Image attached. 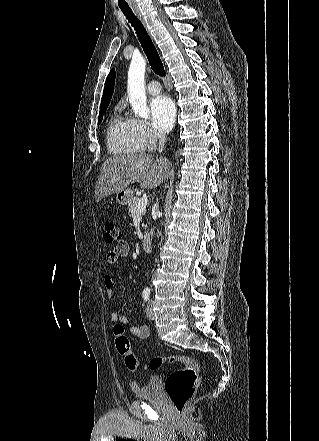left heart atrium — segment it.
Segmentation results:
<instances>
[{
  "label": "left heart atrium",
  "instance_id": "obj_1",
  "mask_svg": "<svg viewBox=\"0 0 319 441\" xmlns=\"http://www.w3.org/2000/svg\"><path fill=\"white\" fill-rule=\"evenodd\" d=\"M150 112L153 126L161 133L171 129L176 108L171 98L160 95L150 101Z\"/></svg>",
  "mask_w": 319,
  "mask_h": 441
}]
</instances>
